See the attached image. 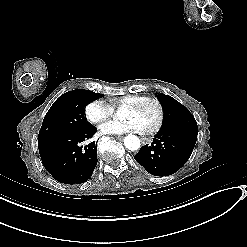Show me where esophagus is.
Masks as SVG:
<instances>
[{
	"instance_id": "obj_1",
	"label": "esophagus",
	"mask_w": 247,
	"mask_h": 247,
	"mask_svg": "<svg viewBox=\"0 0 247 247\" xmlns=\"http://www.w3.org/2000/svg\"><path fill=\"white\" fill-rule=\"evenodd\" d=\"M142 141V145H146V141L144 139L141 138Z\"/></svg>"
}]
</instances>
